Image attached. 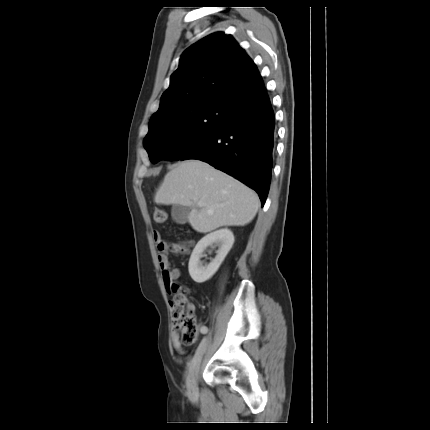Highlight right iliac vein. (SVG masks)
Returning a JSON list of instances; mask_svg holds the SVG:
<instances>
[{
  "label": "right iliac vein",
  "mask_w": 430,
  "mask_h": 430,
  "mask_svg": "<svg viewBox=\"0 0 430 430\" xmlns=\"http://www.w3.org/2000/svg\"><path fill=\"white\" fill-rule=\"evenodd\" d=\"M207 345L208 339L199 344L190 363L189 375L187 379V389L188 394L191 398H196L198 396L197 373Z\"/></svg>",
  "instance_id": "right-iliac-vein-1"
}]
</instances>
